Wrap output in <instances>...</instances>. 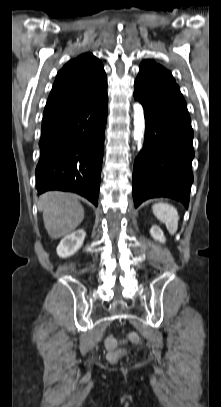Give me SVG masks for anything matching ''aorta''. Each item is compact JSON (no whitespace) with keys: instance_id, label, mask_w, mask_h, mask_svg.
<instances>
[{"instance_id":"obj_1","label":"aorta","mask_w":221,"mask_h":407,"mask_svg":"<svg viewBox=\"0 0 221 407\" xmlns=\"http://www.w3.org/2000/svg\"><path fill=\"white\" fill-rule=\"evenodd\" d=\"M133 109H134L133 137L134 140L137 142V150L140 151L142 149V138L144 136L145 131L144 111L140 103H135L133 105Z\"/></svg>"}]
</instances>
